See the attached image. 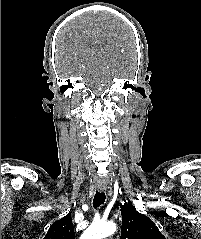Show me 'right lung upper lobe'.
Listing matches in <instances>:
<instances>
[{
  "instance_id": "obj_1",
  "label": "right lung upper lobe",
  "mask_w": 201,
  "mask_h": 239,
  "mask_svg": "<svg viewBox=\"0 0 201 239\" xmlns=\"http://www.w3.org/2000/svg\"><path fill=\"white\" fill-rule=\"evenodd\" d=\"M43 239H75L71 214L54 222Z\"/></svg>"
}]
</instances>
